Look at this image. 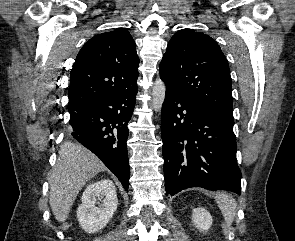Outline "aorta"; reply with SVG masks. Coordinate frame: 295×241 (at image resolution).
Listing matches in <instances>:
<instances>
[{"instance_id":"aorta-1","label":"aorta","mask_w":295,"mask_h":241,"mask_svg":"<svg viewBox=\"0 0 295 241\" xmlns=\"http://www.w3.org/2000/svg\"><path fill=\"white\" fill-rule=\"evenodd\" d=\"M165 92H166V86L164 82L161 79H157L154 82L153 88H152V108L159 112L162 108V105L164 103L165 99Z\"/></svg>"}]
</instances>
